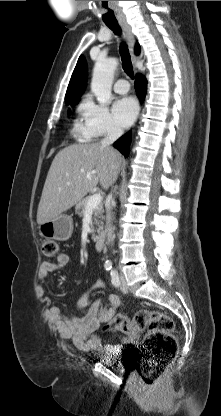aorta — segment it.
I'll use <instances>...</instances> for the list:
<instances>
[{
  "label": "aorta",
  "instance_id": "762f6f07",
  "mask_svg": "<svg viewBox=\"0 0 221 416\" xmlns=\"http://www.w3.org/2000/svg\"><path fill=\"white\" fill-rule=\"evenodd\" d=\"M118 66L115 58L97 61L91 81V91L100 104L108 103L111 99L114 72Z\"/></svg>",
  "mask_w": 221,
  "mask_h": 416
}]
</instances>
